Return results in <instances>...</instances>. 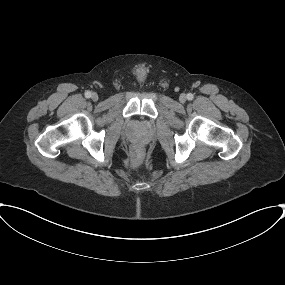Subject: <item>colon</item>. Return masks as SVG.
Returning <instances> with one entry per match:
<instances>
[{"mask_svg": "<svg viewBox=\"0 0 285 285\" xmlns=\"http://www.w3.org/2000/svg\"><path fill=\"white\" fill-rule=\"evenodd\" d=\"M131 163L133 166H138L140 163V156L138 150H134L133 155L131 157Z\"/></svg>", "mask_w": 285, "mask_h": 285, "instance_id": "1", "label": "colon"}]
</instances>
